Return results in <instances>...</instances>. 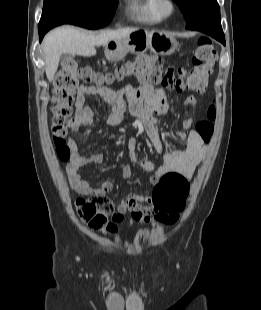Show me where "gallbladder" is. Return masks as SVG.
I'll return each instance as SVG.
<instances>
[{
    "label": "gallbladder",
    "mask_w": 261,
    "mask_h": 310,
    "mask_svg": "<svg viewBox=\"0 0 261 310\" xmlns=\"http://www.w3.org/2000/svg\"><path fill=\"white\" fill-rule=\"evenodd\" d=\"M61 59H62L63 62L68 63V62H73L74 57L72 55H70V54H63Z\"/></svg>",
    "instance_id": "1"
}]
</instances>
